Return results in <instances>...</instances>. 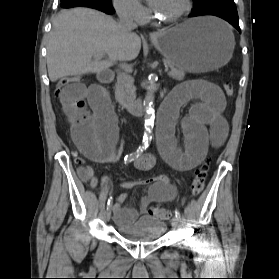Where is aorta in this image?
<instances>
[{
    "mask_svg": "<svg viewBox=\"0 0 279 279\" xmlns=\"http://www.w3.org/2000/svg\"><path fill=\"white\" fill-rule=\"evenodd\" d=\"M154 93L155 86L153 84L147 90L145 99H144V110H145V134L144 141L148 143L150 139L151 129L154 123Z\"/></svg>",
    "mask_w": 279,
    "mask_h": 279,
    "instance_id": "762f6f07",
    "label": "aorta"
}]
</instances>
